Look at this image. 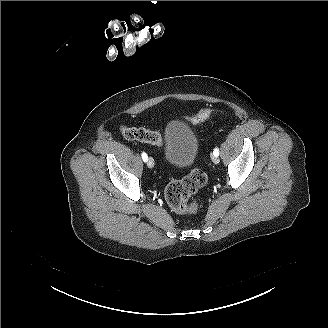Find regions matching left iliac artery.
I'll return each instance as SVG.
<instances>
[{"instance_id": "left-iliac-artery-1", "label": "left iliac artery", "mask_w": 328, "mask_h": 328, "mask_svg": "<svg viewBox=\"0 0 328 328\" xmlns=\"http://www.w3.org/2000/svg\"><path fill=\"white\" fill-rule=\"evenodd\" d=\"M213 154L215 156H218L219 155V149L218 148H215L214 151H213Z\"/></svg>"}]
</instances>
